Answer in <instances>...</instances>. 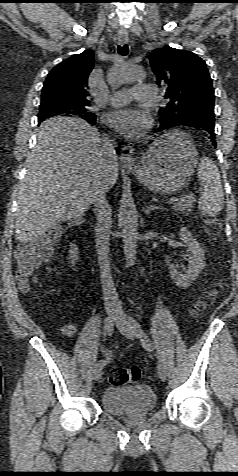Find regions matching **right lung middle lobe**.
<instances>
[{"label": "right lung middle lobe", "mask_w": 238, "mask_h": 476, "mask_svg": "<svg viewBox=\"0 0 238 476\" xmlns=\"http://www.w3.org/2000/svg\"><path fill=\"white\" fill-rule=\"evenodd\" d=\"M56 115L78 116L89 123H94L96 120L95 115L88 111L87 106H72L54 101L41 102L38 115L39 122Z\"/></svg>", "instance_id": "1"}]
</instances>
